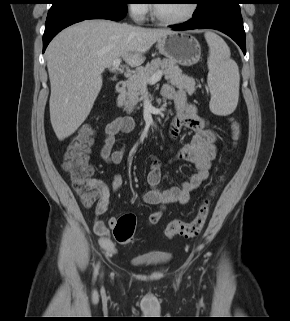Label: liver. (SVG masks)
<instances>
[{"instance_id": "6515ba94", "label": "liver", "mask_w": 290, "mask_h": 321, "mask_svg": "<svg viewBox=\"0 0 290 321\" xmlns=\"http://www.w3.org/2000/svg\"><path fill=\"white\" fill-rule=\"evenodd\" d=\"M171 32L101 19L61 31L45 53L50 120L57 138L69 137L85 121L101 90L102 73L115 59L122 57L131 67H138L152 45Z\"/></svg>"}]
</instances>
